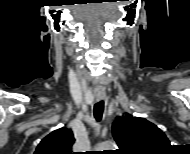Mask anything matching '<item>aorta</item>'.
<instances>
[{
	"label": "aorta",
	"mask_w": 190,
	"mask_h": 154,
	"mask_svg": "<svg viewBox=\"0 0 190 154\" xmlns=\"http://www.w3.org/2000/svg\"><path fill=\"white\" fill-rule=\"evenodd\" d=\"M99 149L103 150H113L115 148V143L112 141H105L101 143L98 147Z\"/></svg>",
	"instance_id": "aorta-1"
}]
</instances>
